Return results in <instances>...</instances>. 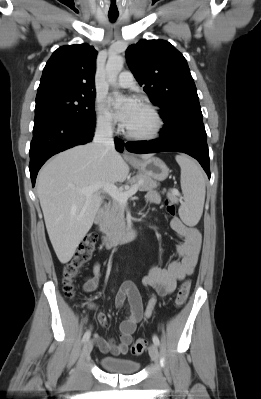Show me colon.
<instances>
[{"mask_svg":"<svg viewBox=\"0 0 261 399\" xmlns=\"http://www.w3.org/2000/svg\"><path fill=\"white\" fill-rule=\"evenodd\" d=\"M166 212L174 216L176 213L175 205L171 201L165 202ZM98 236L94 233H90L85 236L74 257L65 264L63 268V291L65 295L73 299L76 297L75 278L77 277L80 270L91 260L94 250L96 248ZM191 287V282L185 280L175 298V304L177 307L183 306L185 303ZM147 347V341L144 339H137L131 346V351L135 355H140L144 352Z\"/></svg>","mask_w":261,"mask_h":399,"instance_id":"1","label":"colon"}]
</instances>
